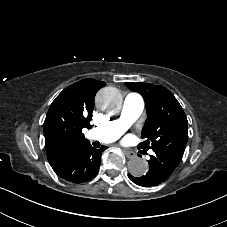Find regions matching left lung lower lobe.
I'll list each match as a JSON object with an SVG mask.
<instances>
[{"instance_id":"obj_1","label":"left lung lower lobe","mask_w":227,"mask_h":227,"mask_svg":"<svg viewBox=\"0 0 227 227\" xmlns=\"http://www.w3.org/2000/svg\"><path fill=\"white\" fill-rule=\"evenodd\" d=\"M179 163L180 161L173 157H169L162 153H155L154 155H150L149 171L145 176L133 177L131 174H128V177L131 181L140 186H155L164 182Z\"/></svg>"}]
</instances>
